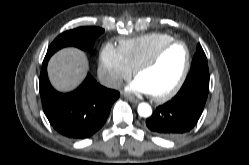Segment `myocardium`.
I'll return each mask as SVG.
<instances>
[{
  "instance_id": "obj_1",
  "label": "myocardium",
  "mask_w": 249,
  "mask_h": 165,
  "mask_svg": "<svg viewBox=\"0 0 249 165\" xmlns=\"http://www.w3.org/2000/svg\"><path fill=\"white\" fill-rule=\"evenodd\" d=\"M176 44H181L184 46L185 50H186V61H185V65L183 68V71L177 81V83L174 85V87H172L170 90H168L167 92L163 93V94H150V96L152 97L153 100L157 101V102H164L167 101L168 99L172 98L174 95H176L179 90L182 88L189 70H190V66H191V52L190 49L188 47V45L181 40H172L169 41L163 45H161L150 57H148L146 60H144L143 62H141L135 69H134V76L137 77L139 73H141L142 71L148 69L149 67H151L153 64H155L163 55V53L170 48L173 45Z\"/></svg>"
}]
</instances>
